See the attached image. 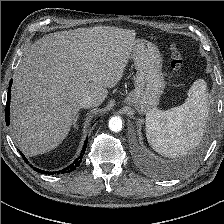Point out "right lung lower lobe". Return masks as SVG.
<instances>
[{"instance_id":"obj_1","label":"right lung lower lobe","mask_w":224,"mask_h":224,"mask_svg":"<svg viewBox=\"0 0 224 224\" xmlns=\"http://www.w3.org/2000/svg\"><path fill=\"white\" fill-rule=\"evenodd\" d=\"M12 86V80L10 81L9 83V88H8V93H7V104H6V110H5V118H6V125L8 126L9 125V115H10V92H11V89L10 87ZM87 142H88V139H86V141L84 142V145H83V148H82V151L79 155V157L71 164L69 165L68 167L62 169L61 171H55V172H49V171H43V170H40L38 168H33L34 170H36L37 172H40L42 174H60V173H68V172H71L73 170L76 169V167L79 166V164L81 163L82 161V157L85 153V150H86V146H87ZM21 156L23 157L24 161L26 163H28L27 159L25 158V156L20 152ZM32 167V165H30Z\"/></svg>"}]
</instances>
